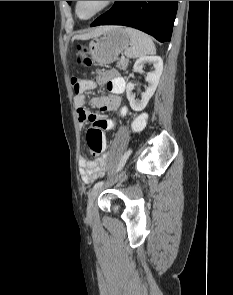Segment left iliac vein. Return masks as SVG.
Returning a JSON list of instances; mask_svg holds the SVG:
<instances>
[{
  "instance_id": "obj_1",
  "label": "left iliac vein",
  "mask_w": 233,
  "mask_h": 295,
  "mask_svg": "<svg viewBox=\"0 0 233 295\" xmlns=\"http://www.w3.org/2000/svg\"><path fill=\"white\" fill-rule=\"evenodd\" d=\"M102 191V187L93 189L89 195H88V204H87V216L91 217L93 215V209H94V202L100 192Z\"/></svg>"
}]
</instances>
